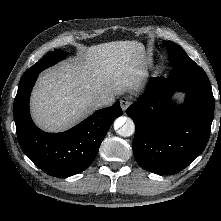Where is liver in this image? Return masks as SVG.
<instances>
[{
  "mask_svg": "<svg viewBox=\"0 0 221 221\" xmlns=\"http://www.w3.org/2000/svg\"><path fill=\"white\" fill-rule=\"evenodd\" d=\"M144 50L138 41L94 45L81 60L42 74L31 97L35 123L47 132H61L98 108L97 98L137 91L147 75Z\"/></svg>",
  "mask_w": 221,
  "mask_h": 221,
  "instance_id": "1",
  "label": "liver"
}]
</instances>
